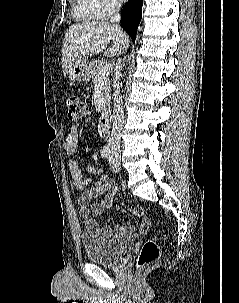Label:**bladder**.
<instances>
[{
    "label": "bladder",
    "instance_id": "31cf9c89",
    "mask_svg": "<svg viewBox=\"0 0 239 303\" xmlns=\"http://www.w3.org/2000/svg\"><path fill=\"white\" fill-rule=\"evenodd\" d=\"M132 241L133 237L84 236L82 246L88 260L102 265H114L123 258Z\"/></svg>",
    "mask_w": 239,
    "mask_h": 303
}]
</instances>
